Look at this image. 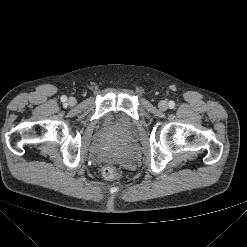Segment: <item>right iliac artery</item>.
Returning a JSON list of instances; mask_svg holds the SVG:
<instances>
[{"label":"right iliac artery","instance_id":"82829eb1","mask_svg":"<svg viewBox=\"0 0 247 247\" xmlns=\"http://www.w3.org/2000/svg\"><path fill=\"white\" fill-rule=\"evenodd\" d=\"M66 100H67V97H66V96H62V97H61V101H62V102H65Z\"/></svg>","mask_w":247,"mask_h":247}]
</instances>
